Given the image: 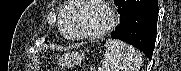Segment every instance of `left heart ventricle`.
<instances>
[{
	"instance_id": "1",
	"label": "left heart ventricle",
	"mask_w": 181,
	"mask_h": 71,
	"mask_svg": "<svg viewBox=\"0 0 181 71\" xmlns=\"http://www.w3.org/2000/svg\"><path fill=\"white\" fill-rule=\"evenodd\" d=\"M108 20L104 8L95 2H88L79 14L78 30L85 34L96 33L107 25Z\"/></svg>"
}]
</instances>
